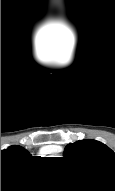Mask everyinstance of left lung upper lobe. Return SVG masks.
Returning <instances> with one entry per match:
<instances>
[{
  "instance_id": "left-lung-upper-lobe-1",
  "label": "left lung upper lobe",
  "mask_w": 115,
  "mask_h": 191,
  "mask_svg": "<svg viewBox=\"0 0 115 191\" xmlns=\"http://www.w3.org/2000/svg\"><path fill=\"white\" fill-rule=\"evenodd\" d=\"M65 156L85 165L114 171L115 174V153L97 140L85 139L70 143L65 148Z\"/></svg>"
}]
</instances>
